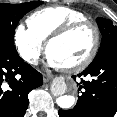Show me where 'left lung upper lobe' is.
Listing matches in <instances>:
<instances>
[{
	"label": "left lung upper lobe",
	"instance_id": "obj_1",
	"mask_svg": "<svg viewBox=\"0 0 117 117\" xmlns=\"http://www.w3.org/2000/svg\"><path fill=\"white\" fill-rule=\"evenodd\" d=\"M97 24L103 37L99 51L93 61L105 54L114 45H117V26H114L111 20L104 18H97Z\"/></svg>",
	"mask_w": 117,
	"mask_h": 117
}]
</instances>
